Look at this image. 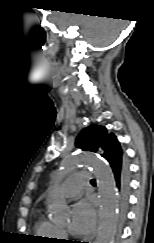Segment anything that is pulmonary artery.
Segmentation results:
<instances>
[{"label":"pulmonary artery","mask_w":154,"mask_h":243,"mask_svg":"<svg viewBox=\"0 0 154 243\" xmlns=\"http://www.w3.org/2000/svg\"><path fill=\"white\" fill-rule=\"evenodd\" d=\"M90 172L86 170L78 171L72 174L63 184L62 192L66 197H73L82 188V185L89 181Z\"/></svg>","instance_id":"obj_1"}]
</instances>
